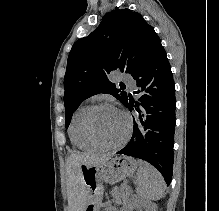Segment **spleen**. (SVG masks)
<instances>
[{
  "instance_id": "3e777b00",
  "label": "spleen",
  "mask_w": 219,
  "mask_h": 211,
  "mask_svg": "<svg viewBox=\"0 0 219 211\" xmlns=\"http://www.w3.org/2000/svg\"><path fill=\"white\" fill-rule=\"evenodd\" d=\"M135 183H137V193L141 201H145V203H148L151 199L153 201L161 199L164 195L166 187L164 177L156 167H153L147 161H140Z\"/></svg>"
}]
</instances>
